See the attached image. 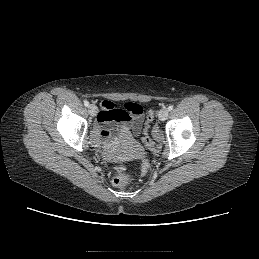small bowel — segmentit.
<instances>
[{"instance_id": "small-bowel-1", "label": "small bowel", "mask_w": 259, "mask_h": 259, "mask_svg": "<svg viewBox=\"0 0 259 259\" xmlns=\"http://www.w3.org/2000/svg\"><path fill=\"white\" fill-rule=\"evenodd\" d=\"M133 106L136 110H133ZM143 117V108L138 103L117 105L105 100L97 115L96 134L99 143H106L111 136L138 135Z\"/></svg>"}]
</instances>
